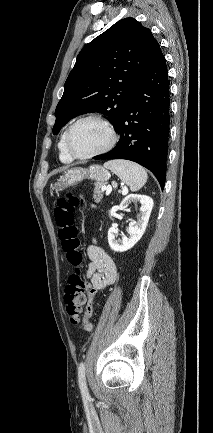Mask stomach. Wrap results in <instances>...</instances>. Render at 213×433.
<instances>
[{
  "instance_id": "1",
  "label": "stomach",
  "mask_w": 213,
  "mask_h": 433,
  "mask_svg": "<svg viewBox=\"0 0 213 433\" xmlns=\"http://www.w3.org/2000/svg\"><path fill=\"white\" fill-rule=\"evenodd\" d=\"M110 178V173L99 165H92L88 169L73 168L68 170L55 184L56 192L76 185L84 179L96 180L99 184H104Z\"/></svg>"
}]
</instances>
